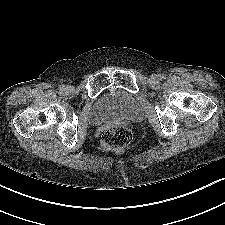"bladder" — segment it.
I'll return each mask as SVG.
<instances>
[{
	"instance_id": "1",
	"label": "bladder",
	"mask_w": 225,
	"mask_h": 225,
	"mask_svg": "<svg viewBox=\"0 0 225 225\" xmlns=\"http://www.w3.org/2000/svg\"><path fill=\"white\" fill-rule=\"evenodd\" d=\"M142 113V108L134 96L117 89L95 104L89 118L92 124L100 125L113 120L136 121Z\"/></svg>"
}]
</instances>
